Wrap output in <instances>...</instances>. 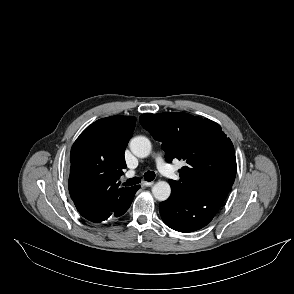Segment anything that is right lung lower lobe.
I'll list each match as a JSON object with an SVG mask.
<instances>
[{
    "label": "right lung lower lobe",
    "instance_id": "obj_1",
    "mask_svg": "<svg viewBox=\"0 0 294 294\" xmlns=\"http://www.w3.org/2000/svg\"><path fill=\"white\" fill-rule=\"evenodd\" d=\"M138 189L139 186L131 187L129 191L125 194L123 199L119 201L117 204H115L109 211H102L96 216H87L84 218L94 223H100L108 219L109 217H119L123 215L130 207L134 195Z\"/></svg>",
    "mask_w": 294,
    "mask_h": 294
}]
</instances>
